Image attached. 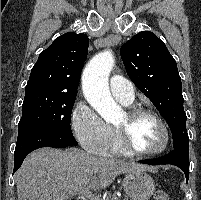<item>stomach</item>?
I'll use <instances>...</instances> for the list:
<instances>
[{"mask_svg":"<svg viewBox=\"0 0 201 200\" xmlns=\"http://www.w3.org/2000/svg\"><path fill=\"white\" fill-rule=\"evenodd\" d=\"M122 185L131 200H148L155 191L153 178L143 171L127 173Z\"/></svg>","mask_w":201,"mask_h":200,"instance_id":"stomach-1","label":"stomach"}]
</instances>
